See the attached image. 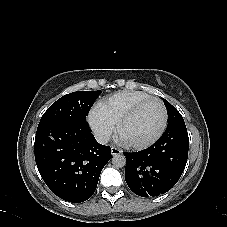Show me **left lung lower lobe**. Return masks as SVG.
Listing matches in <instances>:
<instances>
[{
    "mask_svg": "<svg viewBox=\"0 0 227 227\" xmlns=\"http://www.w3.org/2000/svg\"><path fill=\"white\" fill-rule=\"evenodd\" d=\"M189 137L184 120L170 123L150 148L126 156L125 180L141 197H155L168 192L186 166Z\"/></svg>",
    "mask_w": 227,
    "mask_h": 227,
    "instance_id": "0a47b994",
    "label": "left lung lower lobe"
}]
</instances>
